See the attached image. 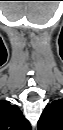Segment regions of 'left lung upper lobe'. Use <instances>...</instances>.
Here are the masks:
<instances>
[{
    "label": "left lung upper lobe",
    "mask_w": 63,
    "mask_h": 130,
    "mask_svg": "<svg viewBox=\"0 0 63 130\" xmlns=\"http://www.w3.org/2000/svg\"><path fill=\"white\" fill-rule=\"evenodd\" d=\"M39 130H63V100L47 104L39 121Z\"/></svg>",
    "instance_id": "obj_1"
}]
</instances>
